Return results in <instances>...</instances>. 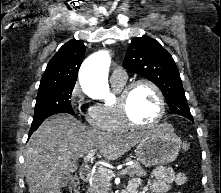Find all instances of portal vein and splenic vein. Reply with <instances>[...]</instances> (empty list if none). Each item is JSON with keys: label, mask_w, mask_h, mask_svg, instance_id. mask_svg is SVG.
<instances>
[{"label": "portal vein and splenic vein", "mask_w": 221, "mask_h": 193, "mask_svg": "<svg viewBox=\"0 0 221 193\" xmlns=\"http://www.w3.org/2000/svg\"><path fill=\"white\" fill-rule=\"evenodd\" d=\"M94 154H95V150H91V151H89V153L84 157V161L85 162H87V161H89L90 160V158H92V156H94ZM98 171L102 174V175H104L105 177H107V178H109V179H112L114 176H115V174H114V172L113 171H110V170H108V169H106V168H104V167H102V166H99L98 167ZM128 173V169L127 168H124V169H122L119 173H118V175H125V174H127Z\"/></svg>", "instance_id": "1"}]
</instances>
